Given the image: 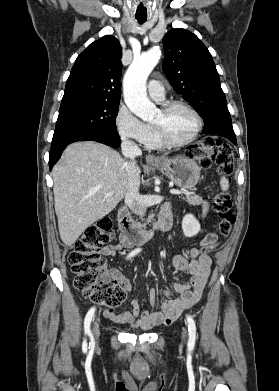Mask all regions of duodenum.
<instances>
[{"label":"duodenum","mask_w":279,"mask_h":391,"mask_svg":"<svg viewBox=\"0 0 279 391\" xmlns=\"http://www.w3.org/2000/svg\"><path fill=\"white\" fill-rule=\"evenodd\" d=\"M118 226L122 233V240L127 246L144 244L158 233L167 232L173 226V216L170 207L163 208L157 223L148 229L137 226L126 207H121L117 215Z\"/></svg>","instance_id":"1"}]
</instances>
